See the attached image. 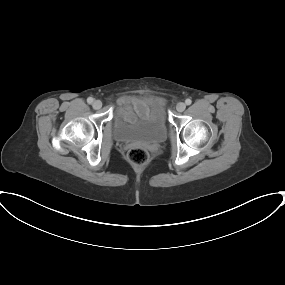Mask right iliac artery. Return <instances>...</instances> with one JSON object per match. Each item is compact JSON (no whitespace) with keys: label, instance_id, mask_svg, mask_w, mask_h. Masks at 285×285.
<instances>
[{"label":"right iliac artery","instance_id":"obj_1","mask_svg":"<svg viewBox=\"0 0 285 285\" xmlns=\"http://www.w3.org/2000/svg\"><path fill=\"white\" fill-rule=\"evenodd\" d=\"M93 98L92 97H89L88 99H87V102L89 103V104H92L93 103Z\"/></svg>","mask_w":285,"mask_h":285}]
</instances>
